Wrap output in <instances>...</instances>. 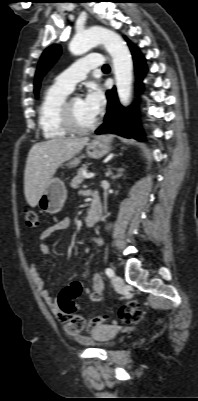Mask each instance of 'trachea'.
Wrapping results in <instances>:
<instances>
[{
	"label": "trachea",
	"mask_w": 198,
	"mask_h": 401,
	"mask_svg": "<svg viewBox=\"0 0 198 401\" xmlns=\"http://www.w3.org/2000/svg\"><path fill=\"white\" fill-rule=\"evenodd\" d=\"M107 70H110V67H109L107 64H105V65L103 66V71H107Z\"/></svg>",
	"instance_id": "obj_1"
}]
</instances>
